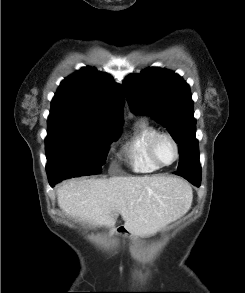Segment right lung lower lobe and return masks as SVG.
<instances>
[{
  "label": "right lung lower lobe",
  "mask_w": 245,
  "mask_h": 293,
  "mask_svg": "<svg viewBox=\"0 0 245 293\" xmlns=\"http://www.w3.org/2000/svg\"><path fill=\"white\" fill-rule=\"evenodd\" d=\"M49 183H50L51 187H54L55 183H57V182L49 181Z\"/></svg>",
  "instance_id": "obj_1"
}]
</instances>
